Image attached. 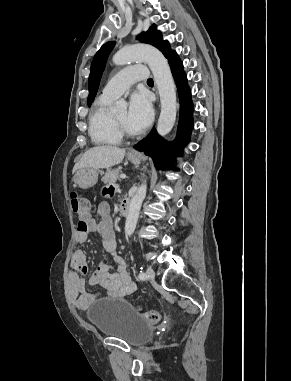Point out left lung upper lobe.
I'll list each match as a JSON object with an SVG mask.
<instances>
[{
    "mask_svg": "<svg viewBox=\"0 0 291 381\" xmlns=\"http://www.w3.org/2000/svg\"><path fill=\"white\" fill-rule=\"evenodd\" d=\"M138 39L144 43L151 44L157 47L164 56L168 59L175 51L170 50L169 43L162 39L161 32L157 30V26L153 24L147 32H143L138 36ZM115 45L114 41L107 42L96 53L89 76V96L88 105L90 106L99 87L102 72L105 67L107 57Z\"/></svg>",
    "mask_w": 291,
    "mask_h": 381,
    "instance_id": "obj_1",
    "label": "left lung upper lobe"
}]
</instances>
